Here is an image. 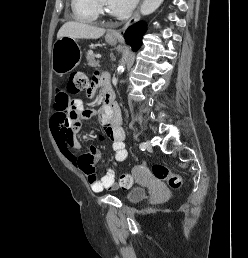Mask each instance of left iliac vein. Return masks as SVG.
Returning a JSON list of instances; mask_svg holds the SVG:
<instances>
[{"label":"left iliac vein","mask_w":248,"mask_h":258,"mask_svg":"<svg viewBox=\"0 0 248 258\" xmlns=\"http://www.w3.org/2000/svg\"><path fill=\"white\" fill-rule=\"evenodd\" d=\"M145 148H146V150H148V151H151V150H152V145H151V142H150V141H146V142H145Z\"/></svg>","instance_id":"left-iliac-vein-1"}]
</instances>
